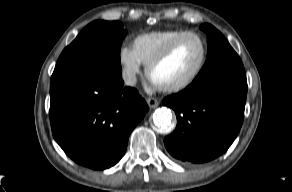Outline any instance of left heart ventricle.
Returning <instances> with one entry per match:
<instances>
[{
	"instance_id": "1",
	"label": "left heart ventricle",
	"mask_w": 292,
	"mask_h": 192,
	"mask_svg": "<svg viewBox=\"0 0 292 192\" xmlns=\"http://www.w3.org/2000/svg\"><path fill=\"white\" fill-rule=\"evenodd\" d=\"M202 56V46L195 37L183 39L173 53L151 72V80L158 86H168L190 76Z\"/></svg>"
}]
</instances>
